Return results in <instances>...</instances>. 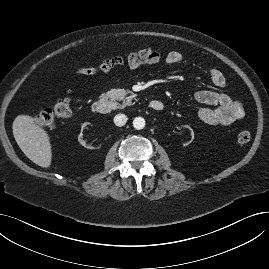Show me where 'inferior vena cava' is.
I'll list each match as a JSON object with an SVG mask.
<instances>
[{
    "label": "inferior vena cava",
    "mask_w": 269,
    "mask_h": 269,
    "mask_svg": "<svg viewBox=\"0 0 269 269\" xmlns=\"http://www.w3.org/2000/svg\"><path fill=\"white\" fill-rule=\"evenodd\" d=\"M128 118L125 114H117L115 117H114V124L116 126H124L127 122Z\"/></svg>",
    "instance_id": "1"
}]
</instances>
